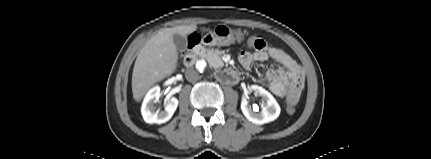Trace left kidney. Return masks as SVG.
<instances>
[{
    "label": "left kidney",
    "instance_id": "obj_1",
    "mask_svg": "<svg viewBox=\"0 0 431 159\" xmlns=\"http://www.w3.org/2000/svg\"><path fill=\"white\" fill-rule=\"evenodd\" d=\"M251 90L261 97L262 110L258 112L251 108L246 99L248 91H245V96L242 98L241 102V110L244 116L252 123L260 125L277 119L280 114V106L275 98L260 86L253 85L251 86Z\"/></svg>",
    "mask_w": 431,
    "mask_h": 159
}]
</instances>
